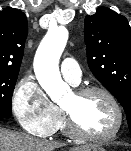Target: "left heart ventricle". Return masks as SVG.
<instances>
[{
	"mask_svg": "<svg viewBox=\"0 0 131 151\" xmlns=\"http://www.w3.org/2000/svg\"><path fill=\"white\" fill-rule=\"evenodd\" d=\"M62 107L71 112L78 126L89 134L108 135L117 123V115L112 104L101 94L78 98L71 93Z\"/></svg>",
	"mask_w": 131,
	"mask_h": 151,
	"instance_id": "left-heart-ventricle-1",
	"label": "left heart ventricle"
}]
</instances>
